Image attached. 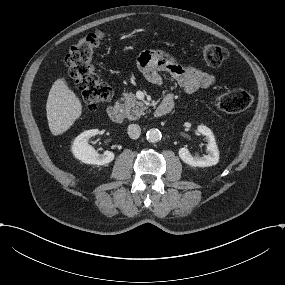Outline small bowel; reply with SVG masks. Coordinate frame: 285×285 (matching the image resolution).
<instances>
[{
  "mask_svg": "<svg viewBox=\"0 0 285 285\" xmlns=\"http://www.w3.org/2000/svg\"><path fill=\"white\" fill-rule=\"evenodd\" d=\"M138 66L147 81L152 84L162 83L161 73L170 74L178 85L187 93L214 85L216 78L194 66L184 64L172 54L163 50L143 52L138 59ZM167 96H171L168 94Z\"/></svg>",
  "mask_w": 285,
  "mask_h": 285,
  "instance_id": "1",
  "label": "small bowel"
}]
</instances>
